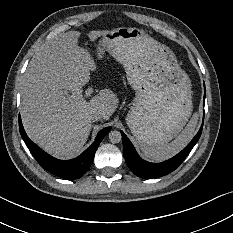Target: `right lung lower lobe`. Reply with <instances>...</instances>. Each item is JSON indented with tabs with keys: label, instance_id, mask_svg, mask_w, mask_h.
<instances>
[{
	"label": "right lung lower lobe",
	"instance_id": "obj_1",
	"mask_svg": "<svg viewBox=\"0 0 233 233\" xmlns=\"http://www.w3.org/2000/svg\"><path fill=\"white\" fill-rule=\"evenodd\" d=\"M19 130L23 140L26 142L32 155L44 169L62 178L77 179L81 177L92 164L95 152L100 142L109 133L111 127H107L101 130L97 134L94 143L88 149H86L79 157L72 160H58L41 150L26 135L20 116Z\"/></svg>",
	"mask_w": 233,
	"mask_h": 233
}]
</instances>
